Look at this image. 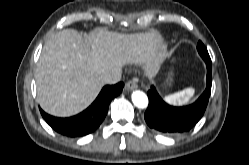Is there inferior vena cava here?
I'll list each match as a JSON object with an SVG mask.
<instances>
[{
	"instance_id": "inferior-vena-cava-1",
	"label": "inferior vena cava",
	"mask_w": 249,
	"mask_h": 165,
	"mask_svg": "<svg viewBox=\"0 0 249 165\" xmlns=\"http://www.w3.org/2000/svg\"><path fill=\"white\" fill-rule=\"evenodd\" d=\"M121 80V71H112L102 76L104 84H116Z\"/></svg>"
}]
</instances>
